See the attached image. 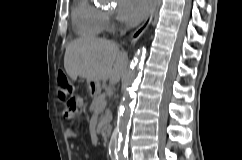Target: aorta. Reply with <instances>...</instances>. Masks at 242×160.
<instances>
[{
    "label": "aorta",
    "instance_id": "762f6f07",
    "mask_svg": "<svg viewBox=\"0 0 242 160\" xmlns=\"http://www.w3.org/2000/svg\"><path fill=\"white\" fill-rule=\"evenodd\" d=\"M143 61L144 52L139 51L131 65L130 72L124 80L125 90L120 103V114L109 141V149L114 151L116 160H126L128 155L127 143L132 111L131 94L135 83L140 77Z\"/></svg>",
    "mask_w": 242,
    "mask_h": 160
}]
</instances>
